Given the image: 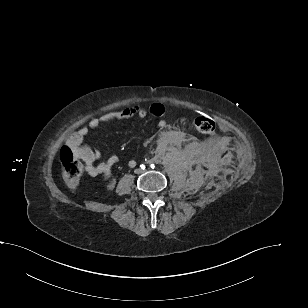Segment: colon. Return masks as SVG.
I'll return each mask as SVG.
<instances>
[{
    "instance_id": "5ec220e1",
    "label": "colon",
    "mask_w": 308,
    "mask_h": 308,
    "mask_svg": "<svg viewBox=\"0 0 308 308\" xmlns=\"http://www.w3.org/2000/svg\"><path fill=\"white\" fill-rule=\"evenodd\" d=\"M194 126L203 134H214L216 131L215 121L207 115L196 117L194 119ZM59 159L66 185L70 189H76L83 173L81 161L75 157L72 149L68 146H64L60 150Z\"/></svg>"
}]
</instances>
